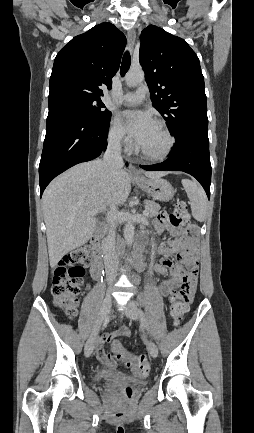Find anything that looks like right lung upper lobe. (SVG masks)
Masks as SVG:
<instances>
[{
	"instance_id": "cb5924a9",
	"label": "right lung upper lobe",
	"mask_w": 254,
	"mask_h": 433,
	"mask_svg": "<svg viewBox=\"0 0 254 433\" xmlns=\"http://www.w3.org/2000/svg\"><path fill=\"white\" fill-rule=\"evenodd\" d=\"M125 46V35L107 22L74 37L55 58L48 106L73 98L100 99V86L111 88Z\"/></svg>"
}]
</instances>
